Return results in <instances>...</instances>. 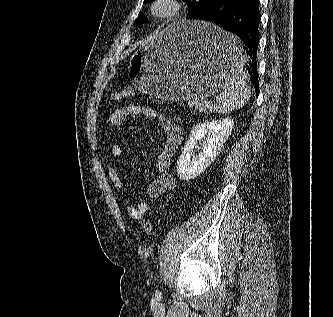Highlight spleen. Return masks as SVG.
<instances>
[{
  "label": "spleen",
  "mask_w": 333,
  "mask_h": 317,
  "mask_svg": "<svg viewBox=\"0 0 333 317\" xmlns=\"http://www.w3.org/2000/svg\"><path fill=\"white\" fill-rule=\"evenodd\" d=\"M221 45L227 47L230 56V73L222 93L213 105V110L226 113L242 108L250 99V87L247 83L245 57L242 55L237 37L219 29Z\"/></svg>",
  "instance_id": "obj_1"
}]
</instances>
